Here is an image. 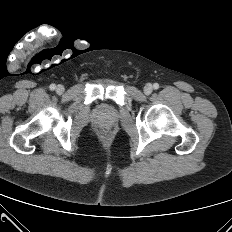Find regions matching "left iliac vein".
Segmentation results:
<instances>
[{
	"label": "left iliac vein",
	"instance_id": "left-iliac-vein-1",
	"mask_svg": "<svg viewBox=\"0 0 232 232\" xmlns=\"http://www.w3.org/2000/svg\"><path fill=\"white\" fill-rule=\"evenodd\" d=\"M152 91H153V86H152L150 83H148V84H146V85L144 86V93H145L146 95L151 94Z\"/></svg>",
	"mask_w": 232,
	"mask_h": 232
}]
</instances>
